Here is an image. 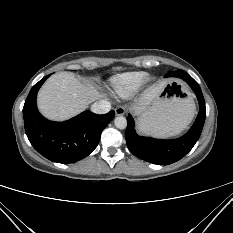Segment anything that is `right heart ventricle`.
<instances>
[{
	"label": "right heart ventricle",
	"instance_id": "obj_1",
	"mask_svg": "<svg viewBox=\"0 0 233 233\" xmlns=\"http://www.w3.org/2000/svg\"><path fill=\"white\" fill-rule=\"evenodd\" d=\"M148 78L149 75L146 72H127L114 76L111 79V86L115 94L127 98L139 91Z\"/></svg>",
	"mask_w": 233,
	"mask_h": 233
}]
</instances>
